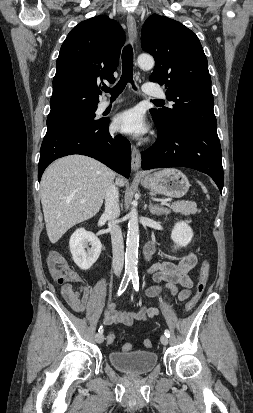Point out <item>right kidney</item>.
I'll return each instance as SVG.
<instances>
[{"label":"right kidney","mask_w":253,"mask_h":413,"mask_svg":"<svg viewBox=\"0 0 253 413\" xmlns=\"http://www.w3.org/2000/svg\"><path fill=\"white\" fill-rule=\"evenodd\" d=\"M88 245L91 248H88ZM70 252L75 264L81 270H88L100 256L102 245L97 236L84 228L77 229L70 237ZM85 248H88L86 251Z\"/></svg>","instance_id":"ca27d5eb"}]
</instances>
